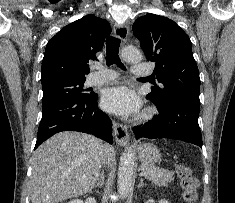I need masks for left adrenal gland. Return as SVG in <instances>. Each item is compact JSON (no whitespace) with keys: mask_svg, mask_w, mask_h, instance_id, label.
I'll list each match as a JSON object with an SVG mask.
<instances>
[{"mask_svg":"<svg viewBox=\"0 0 235 203\" xmlns=\"http://www.w3.org/2000/svg\"><path fill=\"white\" fill-rule=\"evenodd\" d=\"M144 185H146L144 182H143V179L142 178H140V183L138 184V188H140L141 186H144Z\"/></svg>","mask_w":235,"mask_h":203,"instance_id":"obj_1","label":"left adrenal gland"}]
</instances>
